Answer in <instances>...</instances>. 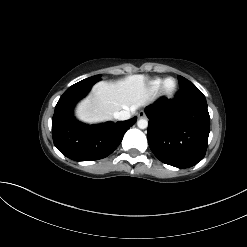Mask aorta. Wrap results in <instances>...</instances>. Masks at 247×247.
Here are the masks:
<instances>
[{
	"label": "aorta",
	"instance_id": "762f6f07",
	"mask_svg": "<svg viewBox=\"0 0 247 247\" xmlns=\"http://www.w3.org/2000/svg\"><path fill=\"white\" fill-rule=\"evenodd\" d=\"M137 126L140 128V129H145L147 128L148 126V121L146 119H139L137 121Z\"/></svg>",
	"mask_w": 247,
	"mask_h": 247
}]
</instances>
